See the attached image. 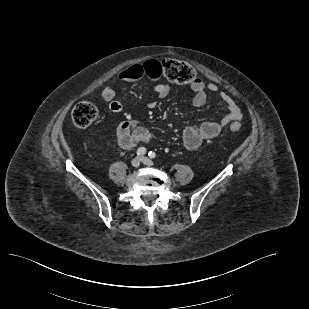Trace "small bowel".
Segmentation results:
<instances>
[{"label":"small bowel","mask_w":309,"mask_h":309,"mask_svg":"<svg viewBox=\"0 0 309 309\" xmlns=\"http://www.w3.org/2000/svg\"><path fill=\"white\" fill-rule=\"evenodd\" d=\"M149 62L135 64L123 69L117 76L121 82H135L143 77L157 80L160 77L159 69L149 65ZM194 92L192 99L196 107L203 106L207 101L208 93L217 94L228 109V113L219 121H207L199 125L188 126L183 131V142L189 150H197L203 142L217 137L222 129L230 123L238 122L242 119V111L235 100L226 92L221 91L217 84H205L198 80L191 85ZM159 98L164 99L170 93V87L166 83H157L153 87ZM102 98L108 102V108L114 113L123 110L122 104L115 99L116 90L112 86H107L102 90ZM155 102L148 104L149 108L155 107ZM117 139L121 148L130 150L139 142H148L151 139L150 131L138 125L132 119L122 121L117 127Z\"/></svg>","instance_id":"small-bowel-1"}]
</instances>
